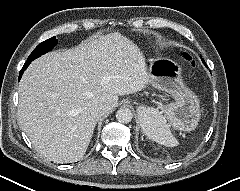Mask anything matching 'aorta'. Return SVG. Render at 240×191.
Returning <instances> with one entry per match:
<instances>
[{
	"label": "aorta",
	"mask_w": 240,
	"mask_h": 191,
	"mask_svg": "<svg viewBox=\"0 0 240 191\" xmlns=\"http://www.w3.org/2000/svg\"><path fill=\"white\" fill-rule=\"evenodd\" d=\"M133 118V114L129 108H120L116 112V119L120 123H129Z\"/></svg>",
	"instance_id": "aorta-1"
}]
</instances>
